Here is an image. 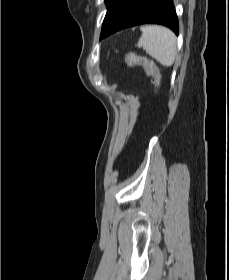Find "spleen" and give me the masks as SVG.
Instances as JSON below:
<instances>
[{"label":"spleen","mask_w":229,"mask_h":280,"mask_svg":"<svg viewBox=\"0 0 229 280\" xmlns=\"http://www.w3.org/2000/svg\"><path fill=\"white\" fill-rule=\"evenodd\" d=\"M138 47L164 66H171L176 58V36L166 27L149 25L141 27Z\"/></svg>","instance_id":"spleen-1"}]
</instances>
